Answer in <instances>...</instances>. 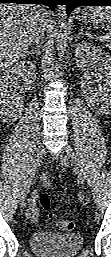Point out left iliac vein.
<instances>
[{
  "label": "left iliac vein",
  "instance_id": "1",
  "mask_svg": "<svg viewBox=\"0 0 111 257\" xmlns=\"http://www.w3.org/2000/svg\"><path fill=\"white\" fill-rule=\"evenodd\" d=\"M66 154L72 159L74 163V172L76 173L77 179L81 184H84L83 170L81 165L76 159L75 153L70 146L65 147Z\"/></svg>",
  "mask_w": 111,
  "mask_h": 257
}]
</instances>
